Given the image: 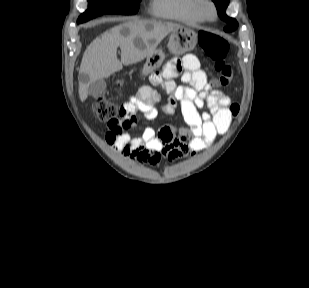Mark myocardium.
<instances>
[{
	"label": "myocardium",
	"instance_id": "obj_1",
	"mask_svg": "<svg viewBox=\"0 0 309 288\" xmlns=\"http://www.w3.org/2000/svg\"><path fill=\"white\" fill-rule=\"evenodd\" d=\"M196 11L204 21H215L218 17V8L213 0H196Z\"/></svg>",
	"mask_w": 309,
	"mask_h": 288
}]
</instances>
